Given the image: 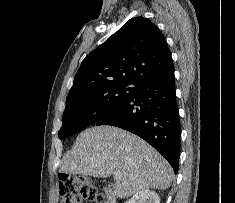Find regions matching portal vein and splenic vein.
<instances>
[{"label": "portal vein and splenic vein", "instance_id": "obj_1", "mask_svg": "<svg viewBox=\"0 0 235 203\" xmlns=\"http://www.w3.org/2000/svg\"><path fill=\"white\" fill-rule=\"evenodd\" d=\"M114 176H115V178H119V177H121V173L120 172H115Z\"/></svg>", "mask_w": 235, "mask_h": 203}]
</instances>
